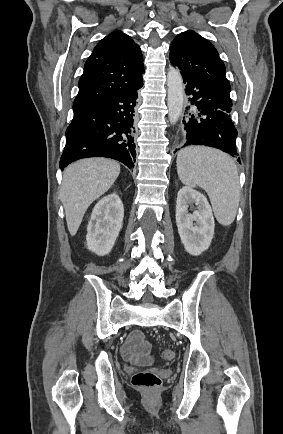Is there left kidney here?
<instances>
[{
    "mask_svg": "<svg viewBox=\"0 0 283 434\" xmlns=\"http://www.w3.org/2000/svg\"><path fill=\"white\" fill-rule=\"evenodd\" d=\"M191 203L197 206L193 214L188 212V205ZM176 224L181 242L189 254L198 256L209 248L214 236L215 222L211 206L203 194L188 186L179 190Z\"/></svg>",
    "mask_w": 283,
    "mask_h": 434,
    "instance_id": "1",
    "label": "left kidney"
}]
</instances>
